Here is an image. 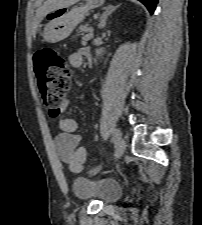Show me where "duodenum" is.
Instances as JSON below:
<instances>
[{
	"mask_svg": "<svg viewBox=\"0 0 202 225\" xmlns=\"http://www.w3.org/2000/svg\"><path fill=\"white\" fill-rule=\"evenodd\" d=\"M86 58H87V62L91 65L93 58H92V54L90 52L87 53Z\"/></svg>",
	"mask_w": 202,
	"mask_h": 225,
	"instance_id": "duodenum-1",
	"label": "duodenum"
}]
</instances>
